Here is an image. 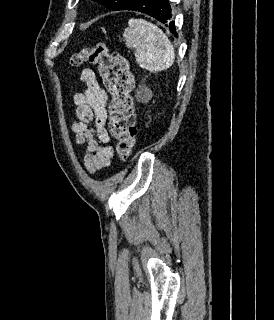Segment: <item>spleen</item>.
Returning <instances> with one entry per match:
<instances>
[{"instance_id":"3e777b00","label":"spleen","mask_w":274,"mask_h":320,"mask_svg":"<svg viewBox=\"0 0 274 320\" xmlns=\"http://www.w3.org/2000/svg\"><path fill=\"white\" fill-rule=\"evenodd\" d=\"M128 26L123 38L127 48H136L135 58L140 68L149 72L168 70L174 62L175 54L166 34L146 20L131 18Z\"/></svg>"}]
</instances>
